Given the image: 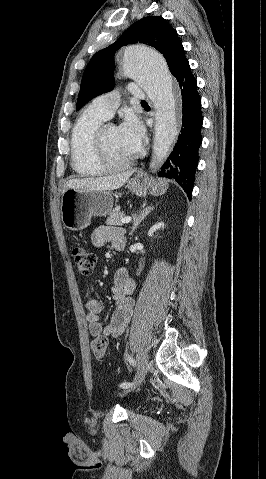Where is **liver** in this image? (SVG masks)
<instances>
[{"instance_id": "obj_1", "label": "liver", "mask_w": 266, "mask_h": 479, "mask_svg": "<svg viewBox=\"0 0 266 479\" xmlns=\"http://www.w3.org/2000/svg\"><path fill=\"white\" fill-rule=\"evenodd\" d=\"M132 175L131 171L120 174L94 177V178H74L68 180L63 186V193L68 189L87 190V191H111L122 187Z\"/></svg>"}]
</instances>
